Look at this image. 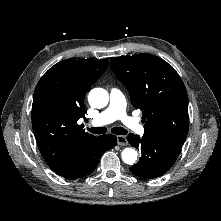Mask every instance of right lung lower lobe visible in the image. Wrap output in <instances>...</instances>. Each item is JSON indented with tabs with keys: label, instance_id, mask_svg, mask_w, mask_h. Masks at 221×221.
Returning <instances> with one entry per match:
<instances>
[{
	"label": "right lung lower lobe",
	"instance_id": "1",
	"mask_svg": "<svg viewBox=\"0 0 221 221\" xmlns=\"http://www.w3.org/2000/svg\"><path fill=\"white\" fill-rule=\"evenodd\" d=\"M116 143L117 138L112 134L96 137L92 143L78 152L67 166L54 172L67 179L84 177L94 171L102 154L115 147Z\"/></svg>",
	"mask_w": 221,
	"mask_h": 221
}]
</instances>
